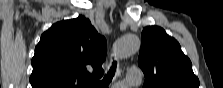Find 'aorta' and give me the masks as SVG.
<instances>
[{"label":"aorta","mask_w":223,"mask_h":88,"mask_svg":"<svg viewBox=\"0 0 223 88\" xmlns=\"http://www.w3.org/2000/svg\"><path fill=\"white\" fill-rule=\"evenodd\" d=\"M140 48V40L136 35L127 34L119 39L115 54L119 59H124L136 53Z\"/></svg>","instance_id":"1"}]
</instances>
